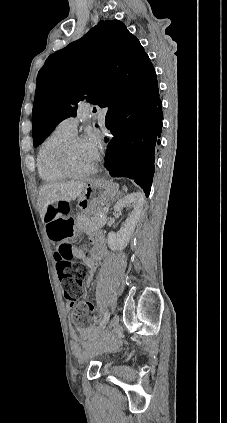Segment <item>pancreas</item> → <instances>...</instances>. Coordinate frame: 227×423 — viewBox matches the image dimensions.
I'll list each match as a JSON object with an SVG mask.
<instances>
[{
    "label": "pancreas",
    "instance_id": "pancreas-1",
    "mask_svg": "<svg viewBox=\"0 0 227 423\" xmlns=\"http://www.w3.org/2000/svg\"><path fill=\"white\" fill-rule=\"evenodd\" d=\"M103 215V217H100ZM106 223V213L103 211L102 206H99L96 211H94V215H86V213H79L76 217V227L77 229H81V231H93V229H99Z\"/></svg>",
    "mask_w": 227,
    "mask_h": 423
}]
</instances>
